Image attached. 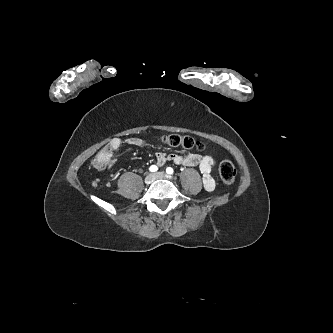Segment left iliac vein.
<instances>
[{
  "instance_id": "left-iliac-vein-1",
  "label": "left iliac vein",
  "mask_w": 333,
  "mask_h": 333,
  "mask_svg": "<svg viewBox=\"0 0 333 333\" xmlns=\"http://www.w3.org/2000/svg\"><path fill=\"white\" fill-rule=\"evenodd\" d=\"M155 179H170V176L165 174L164 172H157L154 174Z\"/></svg>"
}]
</instances>
